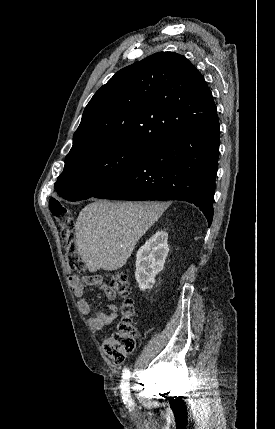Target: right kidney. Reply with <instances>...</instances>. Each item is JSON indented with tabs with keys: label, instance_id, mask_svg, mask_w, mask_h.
Returning <instances> with one entry per match:
<instances>
[{
	"label": "right kidney",
	"instance_id": "ca27d5eb",
	"mask_svg": "<svg viewBox=\"0 0 275 429\" xmlns=\"http://www.w3.org/2000/svg\"><path fill=\"white\" fill-rule=\"evenodd\" d=\"M168 252V234L162 230L154 234L138 250L135 277L141 291L153 287L156 275L164 267Z\"/></svg>",
	"mask_w": 275,
	"mask_h": 429
}]
</instances>
